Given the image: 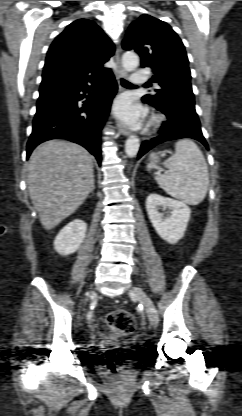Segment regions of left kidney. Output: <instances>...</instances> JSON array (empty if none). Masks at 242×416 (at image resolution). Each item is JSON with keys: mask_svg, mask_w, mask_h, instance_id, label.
Masks as SVG:
<instances>
[{"mask_svg": "<svg viewBox=\"0 0 242 416\" xmlns=\"http://www.w3.org/2000/svg\"><path fill=\"white\" fill-rule=\"evenodd\" d=\"M160 208L168 210L166 218L159 212ZM146 209L154 229L163 240L175 244L184 236L191 214L185 203L151 194L146 199Z\"/></svg>", "mask_w": 242, "mask_h": 416, "instance_id": "left-kidney-1", "label": "left kidney"}]
</instances>
